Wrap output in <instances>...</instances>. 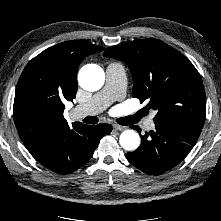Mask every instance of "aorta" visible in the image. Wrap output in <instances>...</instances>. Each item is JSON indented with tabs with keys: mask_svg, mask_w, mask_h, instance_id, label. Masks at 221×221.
<instances>
[{
	"mask_svg": "<svg viewBox=\"0 0 221 221\" xmlns=\"http://www.w3.org/2000/svg\"><path fill=\"white\" fill-rule=\"evenodd\" d=\"M78 81L83 89L97 91L104 84V71L96 64H87L80 69ZM119 143L125 150L133 151L139 147L140 137L134 130H125L120 135Z\"/></svg>",
	"mask_w": 221,
	"mask_h": 221,
	"instance_id": "aorta-1",
	"label": "aorta"
}]
</instances>
